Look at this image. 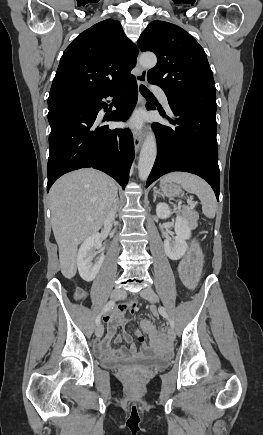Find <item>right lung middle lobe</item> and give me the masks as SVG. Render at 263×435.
<instances>
[{"instance_id": "dd1d6c3e", "label": "right lung middle lobe", "mask_w": 263, "mask_h": 435, "mask_svg": "<svg viewBox=\"0 0 263 435\" xmlns=\"http://www.w3.org/2000/svg\"><path fill=\"white\" fill-rule=\"evenodd\" d=\"M51 107H53V106H48V109L51 108Z\"/></svg>"}]
</instances>
